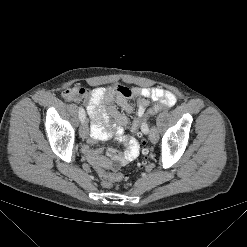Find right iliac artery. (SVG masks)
<instances>
[{"mask_svg": "<svg viewBox=\"0 0 247 247\" xmlns=\"http://www.w3.org/2000/svg\"><path fill=\"white\" fill-rule=\"evenodd\" d=\"M79 119L83 122L86 118L85 111L83 107H79Z\"/></svg>", "mask_w": 247, "mask_h": 247, "instance_id": "1", "label": "right iliac artery"}]
</instances>
